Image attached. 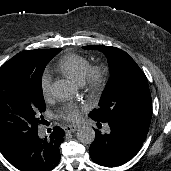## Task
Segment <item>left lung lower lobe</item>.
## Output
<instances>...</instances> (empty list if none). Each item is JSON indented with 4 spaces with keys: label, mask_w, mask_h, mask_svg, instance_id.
<instances>
[{
    "label": "left lung lower lobe",
    "mask_w": 171,
    "mask_h": 171,
    "mask_svg": "<svg viewBox=\"0 0 171 171\" xmlns=\"http://www.w3.org/2000/svg\"><path fill=\"white\" fill-rule=\"evenodd\" d=\"M106 123L111 131L108 134H101L95 130L96 137L89 152L92 160L99 165L120 166L138 153L145 141L149 126L126 120H109Z\"/></svg>",
    "instance_id": "1"
}]
</instances>
